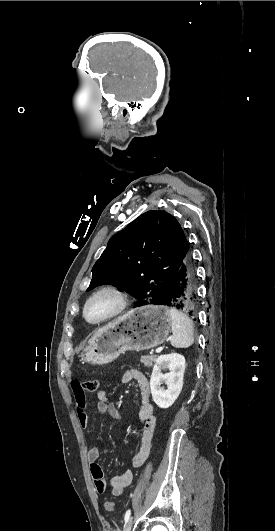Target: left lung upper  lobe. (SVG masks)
<instances>
[{"label": "left lung upper lobe", "mask_w": 275, "mask_h": 531, "mask_svg": "<svg viewBox=\"0 0 275 531\" xmlns=\"http://www.w3.org/2000/svg\"><path fill=\"white\" fill-rule=\"evenodd\" d=\"M189 249L179 222L165 211H148L112 236L92 268L87 291L114 284L131 294L134 307L160 304Z\"/></svg>", "instance_id": "1"}]
</instances>
